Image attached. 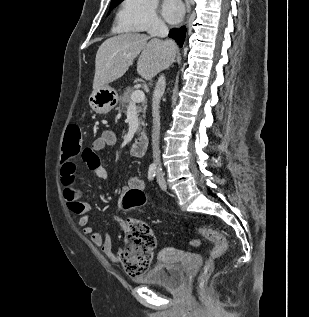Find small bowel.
I'll list each match as a JSON object with an SVG mask.
<instances>
[{"instance_id": "1", "label": "small bowel", "mask_w": 309, "mask_h": 317, "mask_svg": "<svg viewBox=\"0 0 309 317\" xmlns=\"http://www.w3.org/2000/svg\"><path fill=\"white\" fill-rule=\"evenodd\" d=\"M117 142L116 133L112 130H105L101 136L96 138L91 147L84 150L82 160L87 165L89 172L101 179L106 180L108 173L102 165L98 153L104 151L106 147L113 146ZM61 176L63 184V195L69 211L76 216L77 224L82 228V232L89 236L92 243L101 248V251L112 261L118 262L119 258L113 250L112 240L107 233H101L90 225V204L82 199L81 190L76 179V165L70 161L62 165ZM144 182L138 177H131L127 185L122 190V203L119 211L112 215L113 219L120 225L123 231L127 228V223L122 219L121 212L124 210L123 198L130 190L144 191Z\"/></svg>"}]
</instances>
